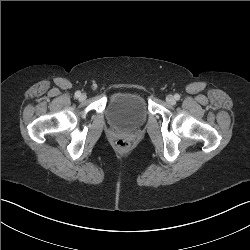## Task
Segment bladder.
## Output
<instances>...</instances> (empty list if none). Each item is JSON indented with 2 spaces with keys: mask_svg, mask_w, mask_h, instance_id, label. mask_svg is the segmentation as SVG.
Wrapping results in <instances>:
<instances>
[{
  "mask_svg": "<svg viewBox=\"0 0 250 250\" xmlns=\"http://www.w3.org/2000/svg\"><path fill=\"white\" fill-rule=\"evenodd\" d=\"M108 120L120 130H134L141 127L148 109L144 98L137 93L119 92L114 94L107 107Z\"/></svg>",
  "mask_w": 250,
  "mask_h": 250,
  "instance_id": "1",
  "label": "bladder"
}]
</instances>
